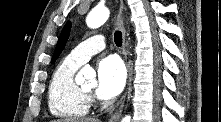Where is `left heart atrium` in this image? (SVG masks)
<instances>
[{
	"mask_svg": "<svg viewBox=\"0 0 221 122\" xmlns=\"http://www.w3.org/2000/svg\"><path fill=\"white\" fill-rule=\"evenodd\" d=\"M96 95L100 99H112L123 89L126 72L122 61L114 55L101 59L97 68Z\"/></svg>",
	"mask_w": 221,
	"mask_h": 122,
	"instance_id": "39dd6f15",
	"label": "left heart atrium"
}]
</instances>
